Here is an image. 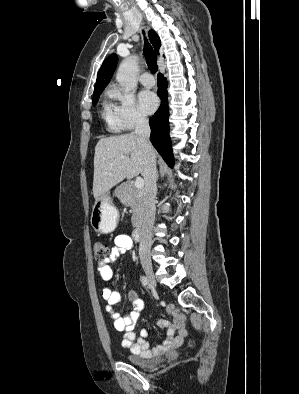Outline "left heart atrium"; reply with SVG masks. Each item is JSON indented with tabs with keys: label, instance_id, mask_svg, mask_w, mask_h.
<instances>
[{
	"label": "left heart atrium",
	"instance_id": "left-heart-atrium-1",
	"mask_svg": "<svg viewBox=\"0 0 299 394\" xmlns=\"http://www.w3.org/2000/svg\"><path fill=\"white\" fill-rule=\"evenodd\" d=\"M138 100L140 109L146 114L153 113L158 106V99L156 95L149 90L141 91L139 93Z\"/></svg>",
	"mask_w": 299,
	"mask_h": 394
}]
</instances>
